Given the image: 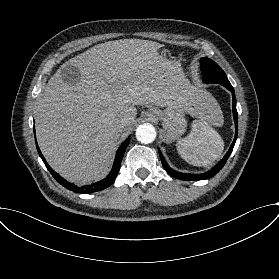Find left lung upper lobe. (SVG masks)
Instances as JSON below:
<instances>
[{"instance_id": "5c2ea615", "label": "left lung upper lobe", "mask_w": 279, "mask_h": 279, "mask_svg": "<svg viewBox=\"0 0 279 279\" xmlns=\"http://www.w3.org/2000/svg\"><path fill=\"white\" fill-rule=\"evenodd\" d=\"M202 78L205 83H218L231 86L225 72L211 59L204 57L200 61Z\"/></svg>"}]
</instances>
